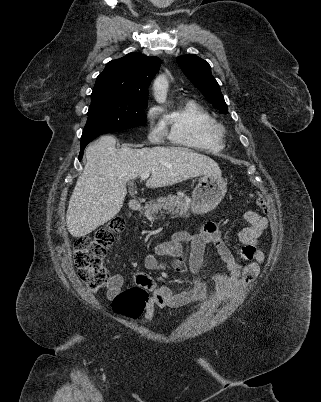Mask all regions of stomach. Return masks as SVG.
<instances>
[{"label": "stomach", "mask_w": 321, "mask_h": 402, "mask_svg": "<svg viewBox=\"0 0 321 402\" xmlns=\"http://www.w3.org/2000/svg\"><path fill=\"white\" fill-rule=\"evenodd\" d=\"M227 182L219 174L203 175L192 193L191 209L195 214H206L224 198Z\"/></svg>", "instance_id": "0dacf381"}]
</instances>
